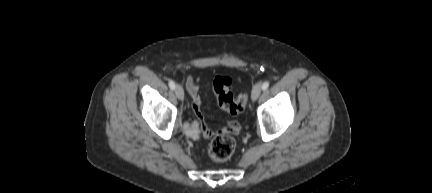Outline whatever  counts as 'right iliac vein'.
<instances>
[{
  "mask_svg": "<svg viewBox=\"0 0 432 193\" xmlns=\"http://www.w3.org/2000/svg\"><path fill=\"white\" fill-rule=\"evenodd\" d=\"M175 94H176V96H177V98L179 100H183L184 99V90H183V88L180 85H177L175 87Z\"/></svg>",
  "mask_w": 432,
  "mask_h": 193,
  "instance_id": "1",
  "label": "right iliac vein"
}]
</instances>
